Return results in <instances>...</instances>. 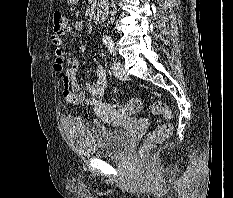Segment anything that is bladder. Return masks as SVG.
Instances as JSON below:
<instances>
[{
    "label": "bladder",
    "instance_id": "31cf9c89",
    "mask_svg": "<svg viewBox=\"0 0 233 198\" xmlns=\"http://www.w3.org/2000/svg\"><path fill=\"white\" fill-rule=\"evenodd\" d=\"M70 139L74 147L84 154L121 157L127 150L131 136L125 129L74 120L70 126Z\"/></svg>",
    "mask_w": 233,
    "mask_h": 198
}]
</instances>
